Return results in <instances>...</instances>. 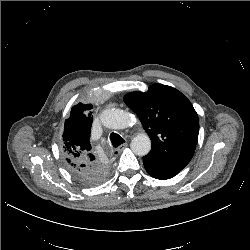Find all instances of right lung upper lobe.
I'll return each instance as SVG.
<instances>
[{
	"label": "right lung upper lobe",
	"instance_id": "obj_1",
	"mask_svg": "<svg viewBox=\"0 0 250 250\" xmlns=\"http://www.w3.org/2000/svg\"><path fill=\"white\" fill-rule=\"evenodd\" d=\"M92 109L91 104L78 103L73 106L70 117L65 121L63 132L62 153L66 164L77 170L101 171L108 170L109 164L95 158L90 144L92 117L84 114Z\"/></svg>",
	"mask_w": 250,
	"mask_h": 250
}]
</instances>
